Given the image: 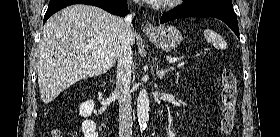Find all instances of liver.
<instances>
[{
    "label": "liver",
    "mask_w": 280,
    "mask_h": 137,
    "mask_svg": "<svg viewBox=\"0 0 280 137\" xmlns=\"http://www.w3.org/2000/svg\"><path fill=\"white\" fill-rule=\"evenodd\" d=\"M122 19L91 5H71L48 19L37 51L41 99L53 101L76 82L101 75L115 63ZM135 33L130 42H135Z\"/></svg>",
    "instance_id": "liver-1"
}]
</instances>
